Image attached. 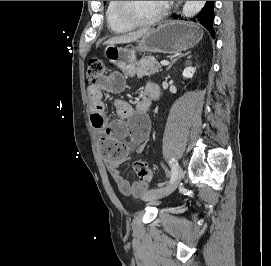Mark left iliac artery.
Segmentation results:
<instances>
[{"mask_svg": "<svg viewBox=\"0 0 271 266\" xmlns=\"http://www.w3.org/2000/svg\"><path fill=\"white\" fill-rule=\"evenodd\" d=\"M177 169H176V164L174 163H171V179H170V183L175 180V178L177 177ZM159 187L160 186H163V184H159L158 185Z\"/></svg>", "mask_w": 271, "mask_h": 266, "instance_id": "44dca946", "label": "left iliac artery"}]
</instances>
